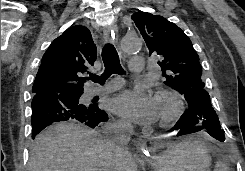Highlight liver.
<instances>
[{"mask_svg":"<svg viewBox=\"0 0 245 171\" xmlns=\"http://www.w3.org/2000/svg\"><path fill=\"white\" fill-rule=\"evenodd\" d=\"M96 131L71 123L48 127L36 138L28 171H103L107 162L116 171H137L132 155L117 157Z\"/></svg>","mask_w":245,"mask_h":171,"instance_id":"liver-1","label":"liver"}]
</instances>
